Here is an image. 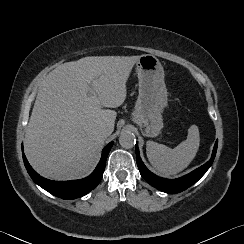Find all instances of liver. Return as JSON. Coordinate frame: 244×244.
<instances>
[{
	"label": "liver",
	"instance_id": "6515ba94",
	"mask_svg": "<svg viewBox=\"0 0 244 244\" xmlns=\"http://www.w3.org/2000/svg\"><path fill=\"white\" fill-rule=\"evenodd\" d=\"M140 56L84 57L61 64L43 81L25 132V152L43 177L73 180L95 168L106 140L99 127L114 129L126 82Z\"/></svg>",
	"mask_w": 244,
	"mask_h": 244
}]
</instances>
